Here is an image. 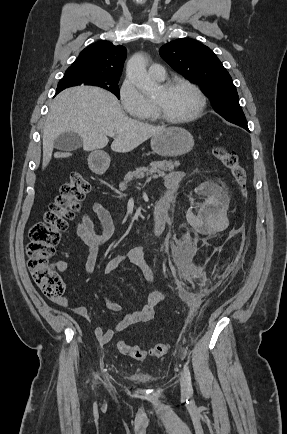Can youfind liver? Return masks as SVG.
<instances>
[{"mask_svg":"<svg viewBox=\"0 0 287 434\" xmlns=\"http://www.w3.org/2000/svg\"><path fill=\"white\" fill-rule=\"evenodd\" d=\"M164 126H153L126 116L116 97L98 87H72L55 97L43 127L44 169L52 158L54 140L65 132L77 133L87 151L104 148L109 139L107 132H114L111 149L127 153L147 139L164 131ZM56 158L67 154L56 153Z\"/></svg>","mask_w":287,"mask_h":434,"instance_id":"1","label":"liver"}]
</instances>
